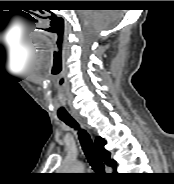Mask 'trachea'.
<instances>
[{"label": "trachea", "mask_w": 174, "mask_h": 184, "mask_svg": "<svg viewBox=\"0 0 174 184\" xmlns=\"http://www.w3.org/2000/svg\"><path fill=\"white\" fill-rule=\"evenodd\" d=\"M64 123L69 125L70 127L75 128L78 131L79 139L81 142L82 149L88 159L89 164L91 165L92 169L97 173H103L104 172V164L102 163L100 157L98 156L96 149L94 147V144L89 136V134L83 130L80 129L77 122L69 117V118H60Z\"/></svg>", "instance_id": "3493384b"}]
</instances>
